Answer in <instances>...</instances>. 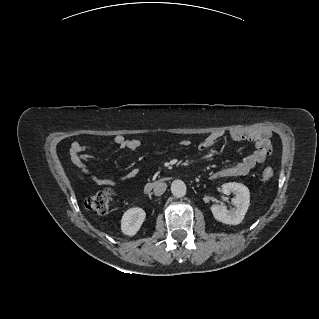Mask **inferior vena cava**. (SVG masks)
<instances>
[{"label":"inferior vena cava","instance_id":"602c4592","mask_svg":"<svg viewBox=\"0 0 319 319\" xmlns=\"http://www.w3.org/2000/svg\"><path fill=\"white\" fill-rule=\"evenodd\" d=\"M166 188H167V184L164 183V182H157L154 186V194L156 196H160L162 195L165 191H166Z\"/></svg>","mask_w":319,"mask_h":319}]
</instances>
